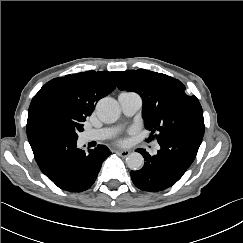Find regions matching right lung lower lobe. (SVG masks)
I'll return each instance as SVG.
<instances>
[{"label": "right lung lower lobe", "instance_id": "right-lung-lower-lobe-1", "mask_svg": "<svg viewBox=\"0 0 243 243\" xmlns=\"http://www.w3.org/2000/svg\"><path fill=\"white\" fill-rule=\"evenodd\" d=\"M27 137L41 171L56 186L70 192L90 188L110 155L104 145L86 154L77 148V139L53 127H32L27 130Z\"/></svg>", "mask_w": 243, "mask_h": 243}]
</instances>
